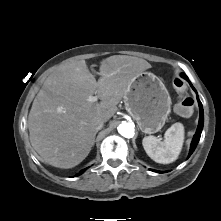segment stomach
Instances as JSON below:
<instances>
[{
	"label": "stomach",
	"instance_id": "obj_1",
	"mask_svg": "<svg viewBox=\"0 0 221 221\" xmlns=\"http://www.w3.org/2000/svg\"><path fill=\"white\" fill-rule=\"evenodd\" d=\"M127 112L146 134L162 129L171 111V98L162 80L151 72H141L124 97Z\"/></svg>",
	"mask_w": 221,
	"mask_h": 221
}]
</instances>
